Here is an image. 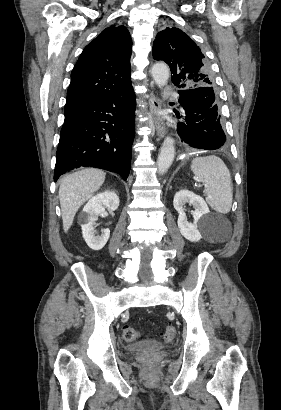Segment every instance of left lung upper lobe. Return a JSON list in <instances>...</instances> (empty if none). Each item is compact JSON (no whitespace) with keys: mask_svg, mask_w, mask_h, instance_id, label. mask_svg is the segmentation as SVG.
<instances>
[{"mask_svg":"<svg viewBox=\"0 0 281 410\" xmlns=\"http://www.w3.org/2000/svg\"><path fill=\"white\" fill-rule=\"evenodd\" d=\"M153 58L169 65L171 80L179 88L214 86L205 56L195 42L178 28L167 27L157 34L153 43Z\"/></svg>","mask_w":281,"mask_h":410,"instance_id":"1","label":"left lung upper lobe"}]
</instances>
